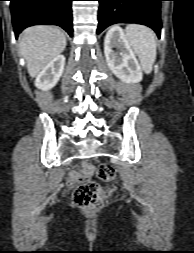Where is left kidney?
I'll use <instances>...</instances> for the list:
<instances>
[{
    "label": "left kidney",
    "instance_id": "5707ae66",
    "mask_svg": "<svg viewBox=\"0 0 194 253\" xmlns=\"http://www.w3.org/2000/svg\"><path fill=\"white\" fill-rule=\"evenodd\" d=\"M117 48L115 52L112 48ZM104 53L109 69L124 83L142 80L141 67L120 27H112L106 34Z\"/></svg>",
    "mask_w": 194,
    "mask_h": 253
}]
</instances>
